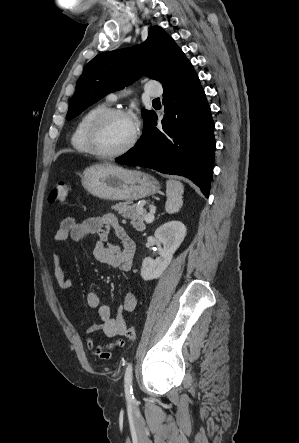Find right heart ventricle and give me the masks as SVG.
Here are the masks:
<instances>
[{
    "instance_id": "right-heart-ventricle-1",
    "label": "right heart ventricle",
    "mask_w": 299,
    "mask_h": 443,
    "mask_svg": "<svg viewBox=\"0 0 299 443\" xmlns=\"http://www.w3.org/2000/svg\"><path fill=\"white\" fill-rule=\"evenodd\" d=\"M106 109H109L107 102L98 103L87 110L78 120L71 135V145L77 152L91 154L86 141L87 131L93 119Z\"/></svg>"
}]
</instances>
